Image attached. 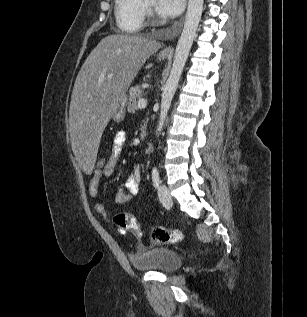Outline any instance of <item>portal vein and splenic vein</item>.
Listing matches in <instances>:
<instances>
[{
    "mask_svg": "<svg viewBox=\"0 0 307 317\" xmlns=\"http://www.w3.org/2000/svg\"><path fill=\"white\" fill-rule=\"evenodd\" d=\"M147 106L146 99L142 98L138 100V108L143 109Z\"/></svg>",
    "mask_w": 307,
    "mask_h": 317,
    "instance_id": "18ae733b",
    "label": "portal vein and splenic vein"
}]
</instances>
